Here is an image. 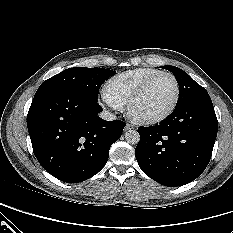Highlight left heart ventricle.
Segmentation results:
<instances>
[{
  "label": "left heart ventricle",
  "instance_id": "obj_1",
  "mask_svg": "<svg viewBox=\"0 0 233 233\" xmlns=\"http://www.w3.org/2000/svg\"><path fill=\"white\" fill-rule=\"evenodd\" d=\"M175 84L168 76L157 78L135 103L133 112L138 116H155L166 111L175 97Z\"/></svg>",
  "mask_w": 233,
  "mask_h": 233
}]
</instances>
